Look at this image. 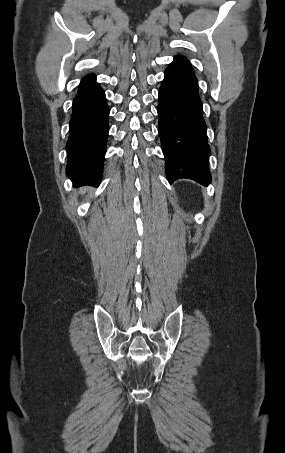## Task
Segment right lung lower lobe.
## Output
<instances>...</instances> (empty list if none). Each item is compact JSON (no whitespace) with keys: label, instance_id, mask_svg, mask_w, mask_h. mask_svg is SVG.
Masks as SVG:
<instances>
[{"label":"right lung lower lobe","instance_id":"obj_1","mask_svg":"<svg viewBox=\"0 0 285 453\" xmlns=\"http://www.w3.org/2000/svg\"><path fill=\"white\" fill-rule=\"evenodd\" d=\"M72 109L66 175L76 186H98L108 136L109 108L95 75L82 79Z\"/></svg>","mask_w":285,"mask_h":453}]
</instances>
